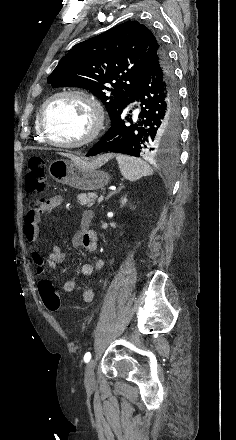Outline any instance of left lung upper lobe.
Instances as JSON below:
<instances>
[{"label":"left lung upper lobe","mask_w":236,"mask_h":440,"mask_svg":"<svg viewBox=\"0 0 236 440\" xmlns=\"http://www.w3.org/2000/svg\"><path fill=\"white\" fill-rule=\"evenodd\" d=\"M166 52L143 24L128 21L76 44L47 81L53 87H80L99 98L111 121L143 78L151 59Z\"/></svg>","instance_id":"1"}]
</instances>
